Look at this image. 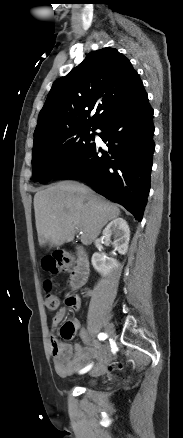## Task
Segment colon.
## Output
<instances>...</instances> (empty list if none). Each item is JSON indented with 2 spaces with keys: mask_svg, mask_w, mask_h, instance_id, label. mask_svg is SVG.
Returning a JSON list of instances; mask_svg holds the SVG:
<instances>
[{
  "mask_svg": "<svg viewBox=\"0 0 183 438\" xmlns=\"http://www.w3.org/2000/svg\"><path fill=\"white\" fill-rule=\"evenodd\" d=\"M73 257L70 253L59 251L51 256L45 257L42 260V267L49 273H58L69 266ZM45 307L48 311H55L60 305L59 296L51 289L50 283L45 285ZM76 301V296H69L67 302L73 303ZM76 329L72 322L68 321L61 327V336L64 339H72L75 335ZM117 365H120L119 363Z\"/></svg>",
  "mask_w": 183,
  "mask_h": 438,
  "instance_id": "5ec220e1",
  "label": "colon"
}]
</instances>
